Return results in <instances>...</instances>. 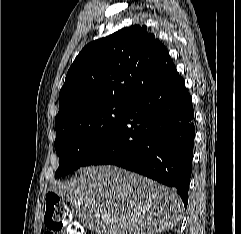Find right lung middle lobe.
Segmentation results:
<instances>
[{
    "instance_id": "obj_1",
    "label": "right lung middle lobe",
    "mask_w": 241,
    "mask_h": 234,
    "mask_svg": "<svg viewBox=\"0 0 241 234\" xmlns=\"http://www.w3.org/2000/svg\"><path fill=\"white\" fill-rule=\"evenodd\" d=\"M129 104L111 103L88 108L70 123L56 129L59 156L57 178L79 167L107 141L122 122Z\"/></svg>"
}]
</instances>
